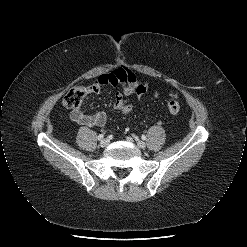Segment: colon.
<instances>
[{
    "mask_svg": "<svg viewBox=\"0 0 247 247\" xmlns=\"http://www.w3.org/2000/svg\"><path fill=\"white\" fill-rule=\"evenodd\" d=\"M88 88L76 87L70 89L63 98V104L67 109L72 111L79 110L82 105L84 96L88 92ZM166 106L169 112L175 114L180 111V102L178 95L175 92L169 94V98L166 102ZM114 107L124 114H128L131 110L130 106L124 103L119 93L115 94Z\"/></svg>",
    "mask_w": 247,
    "mask_h": 247,
    "instance_id": "1",
    "label": "colon"
}]
</instances>
